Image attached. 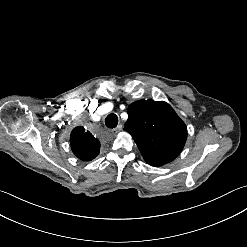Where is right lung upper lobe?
I'll list each match as a JSON object with an SVG mask.
<instances>
[{
    "label": "right lung upper lobe",
    "instance_id": "cb5924a9",
    "mask_svg": "<svg viewBox=\"0 0 247 247\" xmlns=\"http://www.w3.org/2000/svg\"><path fill=\"white\" fill-rule=\"evenodd\" d=\"M70 144L73 153L81 160L91 161L99 154L98 138L81 126L73 129Z\"/></svg>",
    "mask_w": 247,
    "mask_h": 247
}]
</instances>
